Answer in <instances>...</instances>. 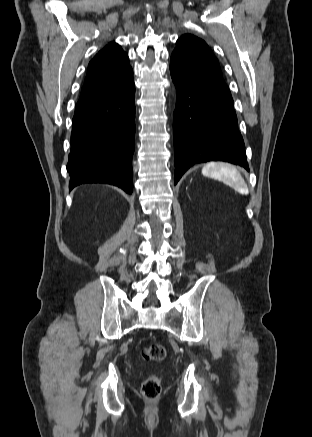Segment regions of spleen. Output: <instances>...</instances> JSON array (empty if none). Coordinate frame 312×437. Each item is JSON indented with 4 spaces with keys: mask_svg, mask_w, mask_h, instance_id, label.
<instances>
[{
    "mask_svg": "<svg viewBox=\"0 0 312 437\" xmlns=\"http://www.w3.org/2000/svg\"><path fill=\"white\" fill-rule=\"evenodd\" d=\"M202 174L222 181L229 185L234 190L241 194H247V185L239 173V171L232 165L226 163H208L202 169Z\"/></svg>",
    "mask_w": 312,
    "mask_h": 437,
    "instance_id": "obj_1",
    "label": "spleen"
}]
</instances>
